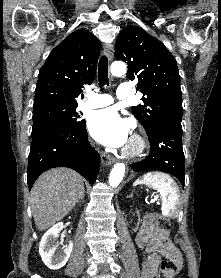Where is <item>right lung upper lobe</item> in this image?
Returning a JSON list of instances; mask_svg holds the SVG:
<instances>
[{
    "mask_svg": "<svg viewBox=\"0 0 221 278\" xmlns=\"http://www.w3.org/2000/svg\"><path fill=\"white\" fill-rule=\"evenodd\" d=\"M100 46L89 31L76 30L68 35L39 71L34 106L46 102L77 104L83 85L94 80Z\"/></svg>",
    "mask_w": 221,
    "mask_h": 278,
    "instance_id": "cb5924a9",
    "label": "right lung upper lobe"
}]
</instances>
